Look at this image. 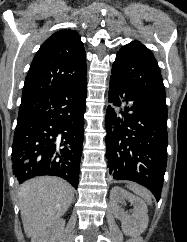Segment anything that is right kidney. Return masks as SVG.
I'll return each mask as SVG.
<instances>
[{"label":"right kidney","mask_w":187,"mask_h":242,"mask_svg":"<svg viewBox=\"0 0 187 242\" xmlns=\"http://www.w3.org/2000/svg\"><path fill=\"white\" fill-rule=\"evenodd\" d=\"M65 226L64 219H58L42 229L32 242H57Z\"/></svg>","instance_id":"right-kidney-1"}]
</instances>
